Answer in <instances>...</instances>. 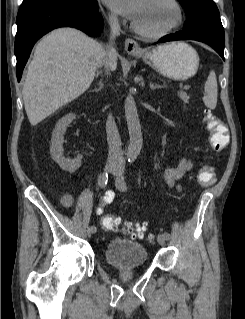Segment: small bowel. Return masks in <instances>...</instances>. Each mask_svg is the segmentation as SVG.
<instances>
[{
    "label": "small bowel",
    "instance_id": "obj_1",
    "mask_svg": "<svg viewBox=\"0 0 245 319\" xmlns=\"http://www.w3.org/2000/svg\"><path fill=\"white\" fill-rule=\"evenodd\" d=\"M192 168V163L183 159L176 167L167 168L164 172L165 181L170 188L180 190L179 179ZM112 192V191H111ZM104 199V202L97 208V213L101 214L105 205L110 204Z\"/></svg>",
    "mask_w": 245,
    "mask_h": 319
}]
</instances>
